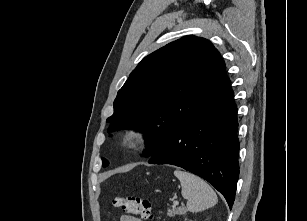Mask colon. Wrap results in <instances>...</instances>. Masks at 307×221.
Returning a JSON list of instances; mask_svg holds the SVG:
<instances>
[{
    "mask_svg": "<svg viewBox=\"0 0 307 221\" xmlns=\"http://www.w3.org/2000/svg\"><path fill=\"white\" fill-rule=\"evenodd\" d=\"M115 207L131 215L141 216L144 219L153 217V207L150 201L136 196H118L112 199Z\"/></svg>",
    "mask_w": 307,
    "mask_h": 221,
    "instance_id": "obj_1",
    "label": "colon"
}]
</instances>
